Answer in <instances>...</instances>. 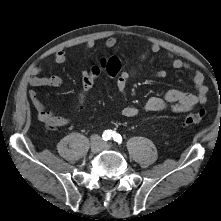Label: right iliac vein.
Wrapping results in <instances>:
<instances>
[{"instance_id":"right-iliac-vein-1","label":"right iliac vein","mask_w":221,"mask_h":221,"mask_svg":"<svg viewBox=\"0 0 221 221\" xmlns=\"http://www.w3.org/2000/svg\"><path fill=\"white\" fill-rule=\"evenodd\" d=\"M91 152H92V153H97V152H99V146H98L95 142H93V143L91 144Z\"/></svg>"}]
</instances>
